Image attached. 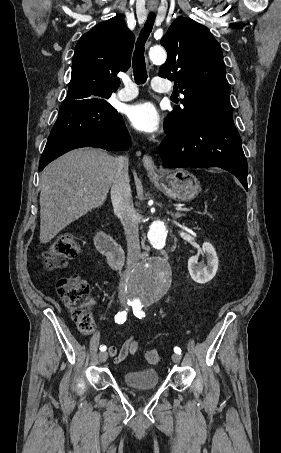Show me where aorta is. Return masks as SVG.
<instances>
[{"instance_id": "1", "label": "aorta", "mask_w": 281, "mask_h": 453, "mask_svg": "<svg viewBox=\"0 0 281 453\" xmlns=\"http://www.w3.org/2000/svg\"><path fill=\"white\" fill-rule=\"evenodd\" d=\"M153 63L162 64L166 61V51L161 47H153L149 51ZM148 239L155 248H163L168 241V230L164 222L157 220L151 223ZM172 280L169 264L159 258L152 257L137 265L130 273L127 289L133 302L150 304L159 300L168 291Z\"/></svg>"}]
</instances>
